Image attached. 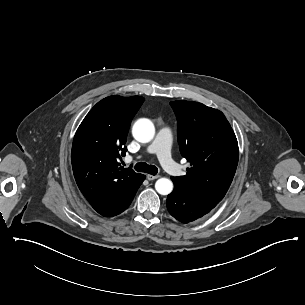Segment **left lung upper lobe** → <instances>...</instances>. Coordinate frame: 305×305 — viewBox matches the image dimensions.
Segmentation results:
<instances>
[{"label": "left lung upper lobe", "instance_id": "left-lung-upper-lobe-1", "mask_svg": "<svg viewBox=\"0 0 305 305\" xmlns=\"http://www.w3.org/2000/svg\"><path fill=\"white\" fill-rule=\"evenodd\" d=\"M177 117L180 152L192 165L171 177L185 192L221 201L233 180L239 157L236 136L224 114L202 103H170Z\"/></svg>", "mask_w": 305, "mask_h": 305}]
</instances>
